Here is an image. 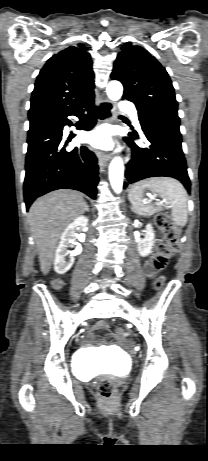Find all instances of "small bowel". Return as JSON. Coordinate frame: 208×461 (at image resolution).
<instances>
[{"instance_id":"obj_1","label":"small bowel","mask_w":208,"mask_h":461,"mask_svg":"<svg viewBox=\"0 0 208 461\" xmlns=\"http://www.w3.org/2000/svg\"><path fill=\"white\" fill-rule=\"evenodd\" d=\"M146 271H147V273L150 274V275H152V274L155 272V270H152V269L149 268L148 262H147V264H146ZM56 284H57V285H60V284H61V281H59V280L56 281ZM107 328H108V325H107L104 321L99 322V323L95 326V329H96V330H106ZM107 341L112 342V344L114 345L115 342L117 341L116 334H115V333H112V334H111V337L109 336V337L107 338ZM113 345L111 346L112 348L114 347Z\"/></svg>"}]
</instances>
